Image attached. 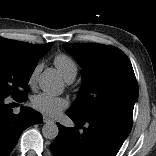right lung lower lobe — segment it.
Masks as SVG:
<instances>
[{
  "instance_id": "1",
  "label": "right lung lower lobe",
  "mask_w": 156,
  "mask_h": 156,
  "mask_svg": "<svg viewBox=\"0 0 156 156\" xmlns=\"http://www.w3.org/2000/svg\"><path fill=\"white\" fill-rule=\"evenodd\" d=\"M5 98L4 95H0V156L10 154L26 128L42 122L39 112L26 107H22L19 114H13L11 104H5ZM26 99L27 97L17 101L23 102Z\"/></svg>"
}]
</instances>
